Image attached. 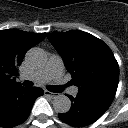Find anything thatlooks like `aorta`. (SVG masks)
<instances>
[{
  "instance_id": "obj_1",
  "label": "aorta",
  "mask_w": 128,
  "mask_h": 128,
  "mask_svg": "<svg viewBox=\"0 0 128 128\" xmlns=\"http://www.w3.org/2000/svg\"><path fill=\"white\" fill-rule=\"evenodd\" d=\"M26 60L32 66H41L46 60L44 51L40 48H32L28 51ZM53 108L57 113H67L71 108V100L66 95H56L53 100Z\"/></svg>"
}]
</instances>
